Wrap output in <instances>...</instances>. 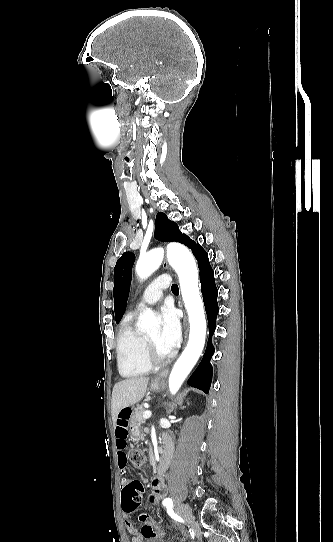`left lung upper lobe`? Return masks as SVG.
I'll return each mask as SVG.
<instances>
[{"mask_svg":"<svg viewBox=\"0 0 333 542\" xmlns=\"http://www.w3.org/2000/svg\"><path fill=\"white\" fill-rule=\"evenodd\" d=\"M155 238L165 242L177 241L183 243L191 248L193 254L200 247L199 244L183 234L178 225L169 220L166 214L162 212L156 216ZM134 261L135 255L131 252H125L115 265L113 296L117 323L121 320L126 309Z\"/></svg>","mask_w":333,"mask_h":542,"instance_id":"1","label":"left lung upper lobe"}]
</instances>
